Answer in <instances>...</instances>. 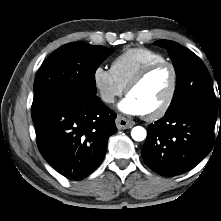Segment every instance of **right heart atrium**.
<instances>
[{"label": "right heart atrium", "mask_w": 221, "mask_h": 221, "mask_svg": "<svg viewBox=\"0 0 221 221\" xmlns=\"http://www.w3.org/2000/svg\"><path fill=\"white\" fill-rule=\"evenodd\" d=\"M93 84L99 97L106 104L114 103L116 98L121 96L125 89L115 78L112 71L102 66L94 69Z\"/></svg>", "instance_id": "d8ad5b80"}]
</instances>
